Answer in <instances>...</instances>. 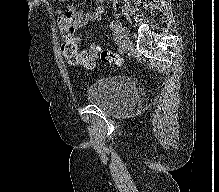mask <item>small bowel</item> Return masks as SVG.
Instances as JSON below:
<instances>
[{
    "label": "small bowel",
    "instance_id": "c3829d8e",
    "mask_svg": "<svg viewBox=\"0 0 219 192\" xmlns=\"http://www.w3.org/2000/svg\"><path fill=\"white\" fill-rule=\"evenodd\" d=\"M65 3L62 11L58 12L57 21L61 31V36L64 38L67 34L75 35V32L82 29L88 22H99L104 8L99 6L95 10L84 13L77 8L75 0H58ZM97 3H102L104 0H95ZM76 36V35H75ZM79 45L80 38L76 36Z\"/></svg>",
    "mask_w": 219,
    "mask_h": 192
}]
</instances>
